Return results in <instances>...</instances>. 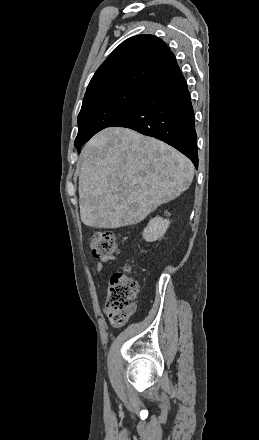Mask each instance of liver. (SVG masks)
<instances>
[{
  "label": "liver",
  "instance_id": "liver-1",
  "mask_svg": "<svg viewBox=\"0 0 259 440\" xmlns=\"http://www.w3.org/2000/svg\"><path fill=\"white\" fill-rule=\"evenodd\" d=\"M78 168L81 221L107 229L141 222L186 191L194 176L192 162L179 151L122 127L92 137Z\"/></svg>",
  "mask_w": 259,
  "mask_h": 440
}]
</instances>
